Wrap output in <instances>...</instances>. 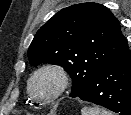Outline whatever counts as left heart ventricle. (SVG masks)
Returning <instances> with one entry per match:
<instances>
[{"label": "left heart ventricle", "mask_w": 131, "mask_h": 115, "mask_svg": "<svg viewBox=\"0 0 131 115\" xmlns=\"http://www.w3.org/2000/svg\"><path fill=\"white\" fill-rule=\"evenodd\" d=\"M57 87V80L48 73L40 74L33 83V90L40 98H48L53 94Z\"/></svg>", "instance_id": "1"}]
</instances>
